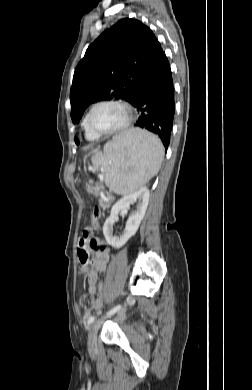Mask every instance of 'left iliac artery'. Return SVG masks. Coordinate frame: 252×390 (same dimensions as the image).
Segmentation results:
<instances>
[{
  "label": "left iliac artery",
  "mask_w": 252,
  "mask_h": 390,
  "mask_svg": "<svg viewBox=\"0 0 252 390\" xmlns=\"http://www.w3.org/2000/svg\"><path fill=\"white\" fill-rule=\"evenodd\" d=\"M120 309H121V305L118 304V305H116L115 307H113V308L107 313V315H108V316L113 315V314H115L116 312H118ZM95 319H96V316H91V317H89L88 323H89V324L92 323Z\"/></svg>",
  "instance_id": "44dca946"
}]
</instances>
